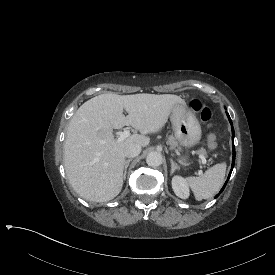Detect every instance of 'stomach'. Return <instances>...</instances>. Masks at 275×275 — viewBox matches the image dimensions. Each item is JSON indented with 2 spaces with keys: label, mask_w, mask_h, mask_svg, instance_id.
I'll list each match as a JSON object with an SVG mask.
<instances>
[{
  "label": "stomach",
  "mask_w": 275,
  "mask_h": 275,
  "mask_svg": "<svg viewBox=\"0 0 275 275\" xmlns=\"http://www.w3.org/2000/svg\"><path fill=\"white\" fill-rule=\"evenodd\" d=\"M170 120L175 138L180 146L190 148L201 139V127L193 113L184 105L175 104L171 110ZM186 158L181 161L185 162Z\"/></svg>",
  "instance_id": "1"
}]
</instances>
